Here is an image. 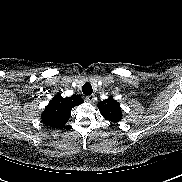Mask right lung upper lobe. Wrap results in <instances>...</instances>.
I'll list each match as a JSON object with an SVG mask.
<instances>
[{"label":"right lung upper lobe","mask_w":182,"mask_h":182,"mask_svg":"<svg viewBox=\"0 0 182 182\" xmlns=\"http://www.w3.org/2000/svg\"><path fill=\"white\" fill-rule=\"evenodd\" d=\"M84 101L78 95L63 98L57 94L41 114L42 123L52 127H63L67 123L72 108Z\"/></svg>","instance_id":"cb5924a9"}]
</instances>
